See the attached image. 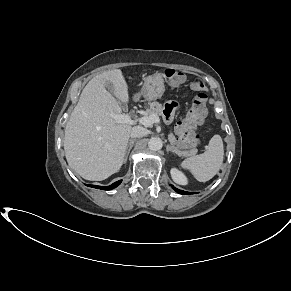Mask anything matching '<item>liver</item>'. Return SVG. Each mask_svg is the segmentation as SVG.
<instances>
[{"label":"liver","mask_w":291,"mask_h":291,"mask_svg":"<svg viewBox=\"0 0 291 291\" xmlns=\"http://www.w3.org/2000/svg\"><path fill=\"white\" fill-rule=\"evenodd\" d=\"M112 87V92L107 87ZM118 100L129 102L128 85L120 69L93 77L84 87L65 127L64 150L69 166L82 178L107 179L121 168L132 127L117 123Z\"/></svg>","instance_id":"liver-1"}]
</instances>
